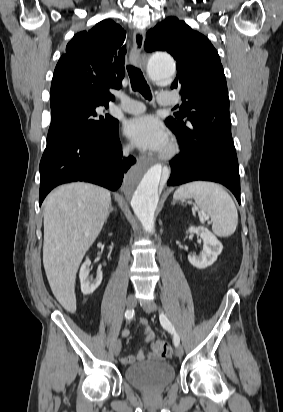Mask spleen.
Returning a JSON list of instances; mask_svg holds the SVG:
<instances>
[{
	"mask_svg": "<svg viewBox=\"0 0 283 412\" xmlns=\"http://www.w3.org/2000/svg\"><path fill=\"white\" fill-rule=\"evenodd\" d=\"M174 199H194L212 221V231L219 237L231 236L238 224V213L230 195L212 182L195 181L180 186Z\"/></svg>",
	"mask_w": 283,
	"mask_h": 412,
	"instance_id": "3e777b00",
	"label": "spleen"
}]
</instances>
